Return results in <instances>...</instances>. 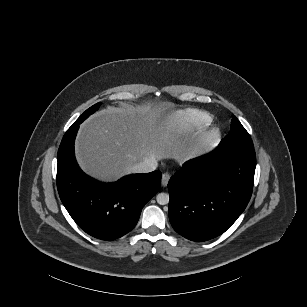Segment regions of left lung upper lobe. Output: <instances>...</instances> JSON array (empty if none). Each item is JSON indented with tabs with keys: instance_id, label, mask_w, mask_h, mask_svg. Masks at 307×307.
<instances>
[{
	"instance_id": "left-lung-upper-lobe-1",
	"label": "left lung upper lobe",
	"mask_w": 307,
	"mask_h": 307,
	"mask_svg": "<svg viewBox=\"0 0 307 307\" xmlns=\"http://www.w3.org/2000/svg\"><path fill=\"white\" fill-rule=\"evenodd\" d=\"M220 144L253 147V143L248 132L235 116L231 120V130L229 134L222 139Z\"/></svg>"
}]
</instances>
